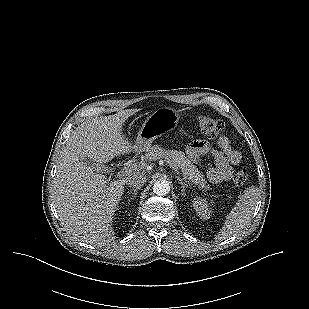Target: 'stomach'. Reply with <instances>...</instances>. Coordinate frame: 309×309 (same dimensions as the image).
<instances>
[{"label": "stomach", "mask_w": 309, "mask_h": 309, "mask_svg": "<svg viewBox=\"0 0 309 309\" xmlns=\"http://www.w3.org/2000/svg\"><path fill=\"white\" fill-rule=\"evenodd\" d=\"M181 114L179 111L161 107L153 111L142 124L135 142V147L140 151L146 150L151 146L154 140L161 137L164 133L173 130Z\"/></svg>", "instance_id": "obj_1"}]
</instances>
